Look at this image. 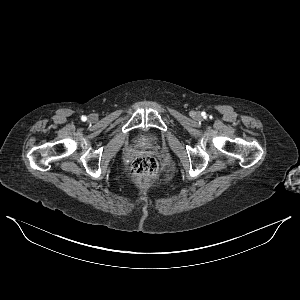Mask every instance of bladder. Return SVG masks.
<instances>
[{
  "label": "bladder",
  "mask_w": 300,
  "mask_h": 300,
  "mask_svg": "<svg viewBox=\"0 0 300 300\" xmlns=\"http://www.w3.org/2000/svg\"><path fill=\"white\" fill-rule=\"evenodd\" d=\"M158 140V136L152 132H140L136 137L137 144L141 146H149Z\"/></svg>",
  "instance_id": "1"
}]
</instances>
